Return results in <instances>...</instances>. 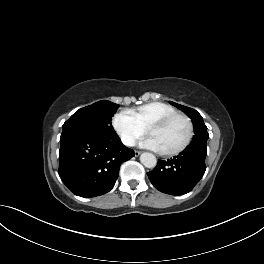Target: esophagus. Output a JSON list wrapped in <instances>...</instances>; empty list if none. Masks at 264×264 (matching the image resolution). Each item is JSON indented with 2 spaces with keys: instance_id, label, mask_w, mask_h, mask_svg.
Returning a JSON list of instances; mask_svg holds the SVG:
<instances>
[{
  "instance_id": "obj_1",
  "label": "esophagus",
  "mask_w": 264,
  "mask_h": 264,
  "mask_svg": "<svg viewBox=\"0 0 264 264\" xmlns=\"http://www.w3.org/2000/svg\"><path fill=\"white\" fill-rule=\"evenodd\" d=\"M134 154H135V157H138V156L141 154V152H140V151H137V150H135Z\"/></svg>"
}]
</instances>
